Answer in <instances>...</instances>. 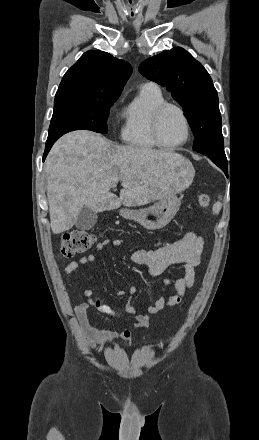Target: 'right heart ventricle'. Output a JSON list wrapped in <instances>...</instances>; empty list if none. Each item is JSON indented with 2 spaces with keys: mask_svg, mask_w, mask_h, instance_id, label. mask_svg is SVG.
<instances>
[{
  "mask_svg": "<svg viewBox=\"0 0 259 440\" xmlns=\"http://www.w3.org/2000/svg\"><path fill=\"white\" fill-rule=\"evenodd\" d=\"M164 102L166 101L160 90L141 89L122 112V141L142 151L158 149L160 146L152 136L151 125L154 112Z\"/></svg>",
  "mask_w": 259,
  "mask_h": 440,
  "instance_id": "1",
  "label": "right heart ventricle"
}]
</instances>
